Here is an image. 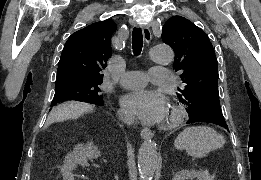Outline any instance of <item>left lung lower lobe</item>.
I'll use <instances>...</instances> for the list:
<instances>
[{
	"mask_svg": "<svg viewBox=\"0 0 261 180\" xmlns=\"http://www.w3.org/2000/svg\"><path fill=\"white\" fill-rule=\"evenodd\" d=\"M208 122L220 125L228 130V126L224 120V117H219L214 114H203L201 116H190L188 123Z\"/></svg>",
	"mask_w": 261,
	"mask_h": 180,
	"instance_id": "obj_1",
	"label": "left lung lower lobe"
}]
</instances>
